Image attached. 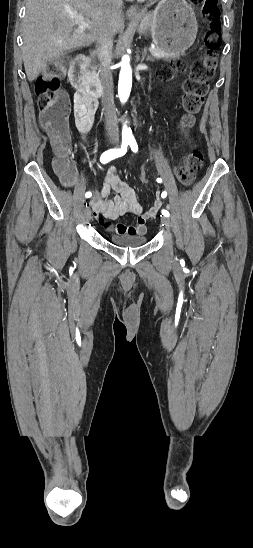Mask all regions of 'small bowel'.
<instances>
[{"mask_svg":"<svg viewBox=\"0 0 253 548\" xmlns=\"http://www.w3.org/2000/svg\"><path fill=\"white\" fill-rule=\"evenodd\" d=\"M97 109L98 101L96 99L76 91L73 101V116L76 128L80 133L88 134L91 131ZM61 180L66 187H73L77 182L75 167L72 166L69 175H61ZM90 205L97 221L108 230L117 234H143L146 232L147 220L157 213L161 201H157L150 210L144 211L136 191L111 166L104 175L100 189L93 192ZM125 214L135 215L137 217L136 225L118 223L111 226L105 222V219L115 220Z\"/></svg>","mask_w":253,"mask_h":548,"instance_id":"obj_1","label":"small bowel"}]
</instances>
